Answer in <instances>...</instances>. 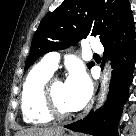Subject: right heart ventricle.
I'll return each instance as SVG.
<instances>
[{"instance_id":"1","label":"right heart ventricle","mask_w":136,"mask_h":136,"mask_svg":"<svg viewBox=\"0 0 136 136\" xmlns=\"http://www.w3.org/2000/svg\"><path fill=\"white\" fill-rule=\"evenodd\" d=\"M53 72L41 62L27 74L21 92V110L26 123L45 124L52 120L44 108L43 89Z\"/></svg>"}]
</instances>
